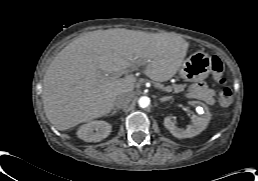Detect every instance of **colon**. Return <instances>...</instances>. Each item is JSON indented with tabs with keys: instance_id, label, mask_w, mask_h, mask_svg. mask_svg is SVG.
Segmentation results:
<instances>
[{
	"instance_id": "5ec220e1",
	"label": "colon",
	"mask_w": 258,
	"mask_h": 181,
	"mask_svg": "<svg viewBox=\"0 0 258 181\" xmlns=\"http://www.w3.org/2000/svg\"><path fill=\"white\" fill-rule=\"evenodd\" d=\"M211 70H212L215 82L219 86H221L220 92H219L220 104L225 107L229 106L232 102V91L229 87L225 86L226 78L223 74V71H224L223 63L217 56H213L211 58Z\"/></svg>"
}]
</instances>
